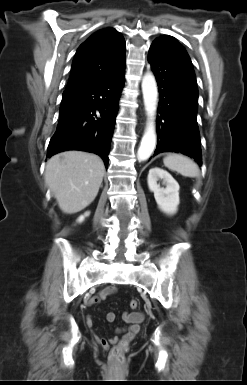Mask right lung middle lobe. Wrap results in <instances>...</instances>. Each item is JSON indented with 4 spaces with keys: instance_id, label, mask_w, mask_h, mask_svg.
I'll return each instance as SVG.
<instances>
[{
    "instance_id": "dd1d6c3e",
    "label": "right lung middle lobe",
    "mask_w": 247,
    "mask_h": 385,
    "mask_svg": "<svg viewBox=\"0 0 247 385\" xmlns=\"http://www.w3.org/2000/svg\"><path fill=\"white\" fill-rule=\"evenodd\" d=\"M68 93H63V96L67 95Z\"/></svg>"
}]
</instances>
